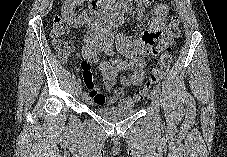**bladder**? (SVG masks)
<instances>
[{
    "label": "bladder",
    "mask_w": 227,
    "mask_h": 157,
    "mask_svg": "<svg viewBox=\"0 0 227 157\" xmlns=\"http://www.w3.org/2000/svg\"><path fill=\"white\" fill-rule=\"evenodd\" d=\"M94 112L107 121H118L131 117L136 113V109L112 106L95 108Z\"/></svg>",
    "instance_id": "obj_1"
}]
</instances>
